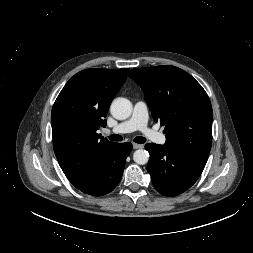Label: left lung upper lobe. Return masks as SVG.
I'll return each instance as SVG.
<instances>
[{"instance_id": "left-lung-upper-lobe-1", "label": "left lung upper lobe", "mask_w": 253, "mask_h": 253, "mask_svg": "<svg viewBox=\"0 0 253 253\" xmlns=\"http://www.w3.org/2000/svg\"><path fill=\"white\" fill-rule=\"evenodd\" d=\"M143 90L154 120L165 126V147L206 164L212 144L213 112L202 86L171 65L135 68L128 75Z\"/></svg>"}]
</instances>
